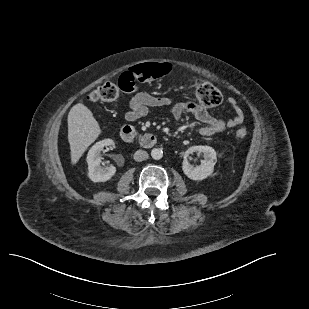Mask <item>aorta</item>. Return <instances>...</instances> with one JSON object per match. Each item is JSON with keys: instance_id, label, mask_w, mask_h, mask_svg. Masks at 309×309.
Wrapping results in <instances>:
<instances>
[{"instance_id": "1", "label": "aorta", "mask_w": 309, "mask_h": 309, "mask_svg": "<svg viewBox=\"0 0 309 309\" xmlns=\"http://www.w3.org/2000/svg\"><path fill=\"white\" fill-rule=\"evenodd\" d=\"M151 157L155 160H159L163 157V151L160 148H153L151 150Z\"/></svg>"}]
</instances>
